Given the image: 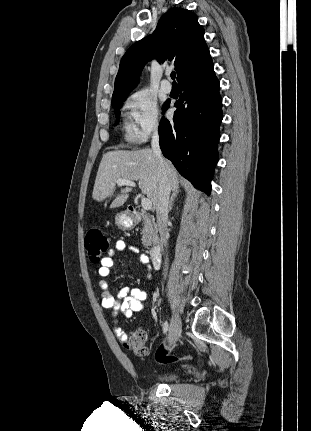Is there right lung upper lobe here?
Listing matches in <instances>:
<instances>
[{"label": "right lung upper lobe", "instance_id": "cb5924a9", "mask_svg": "<svg viewBox=\"0 0 311 431\" xmlns=\"http://www.w3.org/2000/svg\"><path fill=\"white\" fill-rule=\"evenodd\" d=\"M153 58L174 62L178 85L213 65L204 29L194 13L182 8L168 10L151 35L127 50L120 62L112 99L128 96L137 86L143 67Z\"/></svg>", "mask_w": 311, "mask_h": 431}]
</instances>
